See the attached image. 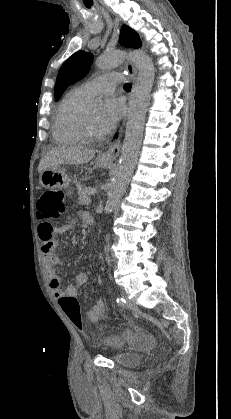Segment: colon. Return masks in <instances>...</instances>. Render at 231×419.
Segmentation results:
<instances>
[{
    "label": "colon",
    "mask_w": 231,
    "mask_h": 419,
    "mask_svg": "<svg viewBox=\"0 0 231 419\" xmlns=\"http://www.w3.org/2000/svg\"><path fill=\"white\" fill-rule=\"evenodd\" d=\"M65 212L64 193L59 189L45 191L37 202V214L44 220H58ZM59 304L69 319L80 329L83 330V323L80 314V306L75 297L63 296ZM106 343L110 346L122 345L119 338H108Z\"/></svg>",
    "instance_id": "5ec220e1"
}]
</instances>
